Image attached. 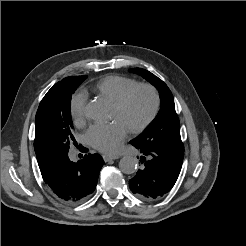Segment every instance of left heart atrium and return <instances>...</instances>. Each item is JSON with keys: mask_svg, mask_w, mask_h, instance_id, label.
Here are the masks:
<instances>
[{"mask_svg": "<svg viewBox=\"0 0 246 246\" xmlns=\"http://www.w3.org/2000/svg\"><path fill=\"white\" fill-rule=\"evenodd\" d=\"M128 127L120 120L110 123H96L86 132V141L96 150L113 154L119 151L128 134Z\"/></svg>", "mask_w": 246, "mask_h": 246, "instance_id": "left-heart-atrium-1", "label": "left heart atrium"}]
</instances>
